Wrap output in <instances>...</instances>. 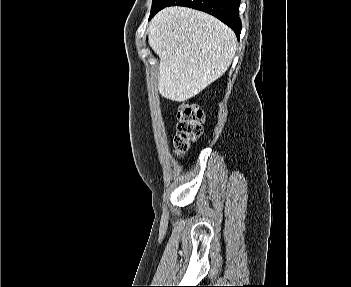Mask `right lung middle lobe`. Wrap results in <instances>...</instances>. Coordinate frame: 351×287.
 Masks as SVG:
<instances>
[{"label":"right lung middle lobe","instance_id":"obj_1","mask_svg":"<svg viewBox=\"0 0 351 287\" xmlns=\"http://www.w3.org/2000/svg\"><path fill=\"white\" fill-rule=\"evenodd\" d=\"M161 0H153L151 11L158 5Z\"/></svg>","mask_w":351,"mask_h":287}]
</instances>
